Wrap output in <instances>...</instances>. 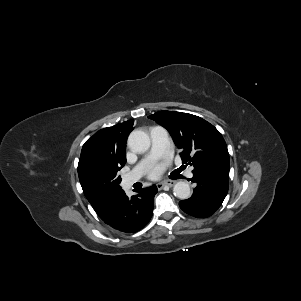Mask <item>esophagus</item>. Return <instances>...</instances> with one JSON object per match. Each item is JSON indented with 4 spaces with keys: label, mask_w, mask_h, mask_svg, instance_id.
<instances>
[{
    "label": "esophagus",
    "mask_w": 301,
    "mask_h": 301,
    "mask_svg": "<svg viewBox=\"0 0 301 301\" xmlns=\"http://www.w3.org/2000/svg\"><path fill=\"white\" fill-rule=\"evenodd\" d=\"M175 184V181H172V180H169V181H165V182H162V183H158L157 184V187L159 189L167 186V187H172L173 185Z\"/></svg>",
    "instance_id": "obj_1"
}]
</instances>
